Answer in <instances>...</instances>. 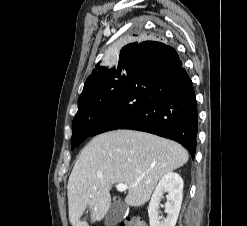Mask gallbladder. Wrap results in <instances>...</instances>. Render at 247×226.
<instances>
[{"mask_svg":"<svg viewBox=\"0 0 247 226\" xmlns=\"http://www.w3.org/2000/svg\"><path fill=\"white\" fill-rule=\"evenodd\" d=\"M127 206L124 202L115 200L105 217L106 226H115L121 222L126 215Z\"/></svg>","mask_w":247,"mask_h":226,"instance_id":"gallbladder-1","label":"gallbladder"}]
</instances>
